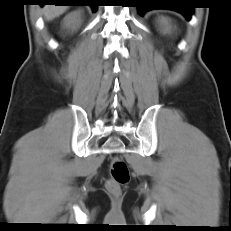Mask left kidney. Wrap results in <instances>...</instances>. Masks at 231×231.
I'll return each mask as SVG.
<instances>
[{"mask_svg": "<svg viewBox=\"0 0 231 231\" xmlns=\"http://www.w3.org/2000/svg\"><path fill=\"white\" fill-rule=\"evenodd\" d=\"M159 24H160V27H161V31L164 33V34H167V33H170L171 32V29H172V25H171V22L168 18L166 17H161L159 20H158Z\"/></svg>", "mask_w": 231, "mask_h": 231, "instance_id": "left-kidney-1", "label": "left kidney"}]
</instances>
